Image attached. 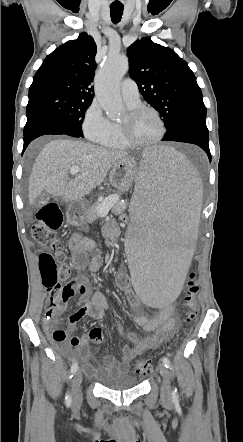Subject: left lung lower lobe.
I'll list each match as a JSON object with an SVG mask.
<instances>
[{"label": "left lung lower lobe", "instance_id": "1", "mask_svg": "<svg viewBox=\"0 0 243 442\" xmlns=\"http://www.w3.org/2000/svg\"><path fill=\"white\" fill-rule=\"evenodd\" d=\"M208 136L205 109L197 110L184 116L175 125L173 130L164 136L163 141H177L196 144L207 153L208 158L211 161Z\"/></svg>", "mask_w": 243, "mask_h": 442}]
</instances>
